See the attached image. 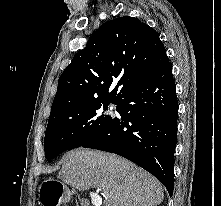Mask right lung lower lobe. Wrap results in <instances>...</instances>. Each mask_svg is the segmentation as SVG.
Returning <instances> with one entry per match:
<instances>
[{"label": "right lung lower lobe", "instance_id": "obj_1", "mask_svg": "<svg viewBox=\"0 0 221 206\" xmlns=\"http://www.w3.org/2000/svg\"><path fill=\"white\" fill-rule=\"evenodd\" d=\"M117 117L82 147L121 155L154 175L170 196L174 188V150L178 102L167 64L128 93L118 104Z\"/></svg>", "mask_w": 221, "mask_h": 206}]
</instances>
